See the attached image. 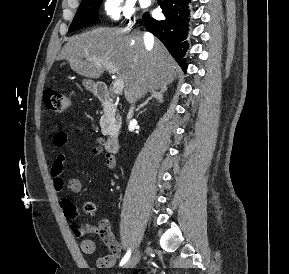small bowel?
Here are the masks:
<instances>
[{
  "label": "small bowel",
  "instance_id": "small-bowel-1",
  "mask_svg": "<svg viewBox=\"0 0 289 274\" xmlns=\"http://www.w3.org/2000/svg\"><path fill=\"white\" fill-rule=\"evenodd\" d=\"M79 130H84L82 127H78ZM71 132L67 130L59 129L57 130L53 135V145L56 148H62L66 145L70 138ZM97 141V145L94 146L91 150L92 154L95 156L101 155L103 153V149L100 145L102 142V139L97 137L95 139ZM66 162V155L63 153H59L55 159L53 160V163L51 165V178H52V185L53 189L56 192L63 191L65 187V181L62 176L64 165ZM116 161L115 158L110 154L106 153L104 156V165L107 169H113L115 167ZM67 189L72 193H80L82 191V183L77 178H72L67 182L66 185ZM72 231L77 237H81L84 234H90V233H98L103 240V242L108 247L110 253L104 256H101L97 259L96 265L98 268H111L116 260L121 255V246L118 243V241L115 239L112 232H109V236L106 237L104 234L100 233L99 229L96 227H87L84 230H79L75 226H72ZM80 249L81 251L86 255L94 254L96 251V244L94 240L90 238H83L80 242Z\"/></svg>",
  "mask_w": 289,
  "mask_h": 274
}]
</instances>
